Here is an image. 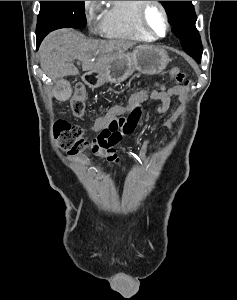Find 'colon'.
<instances>
[{
  "label": "colon",
  "instance_id": "5ec220e1",
  "mask_svg": "<svg viewBox=\"0 0 237 300\" xmlns=\"http://www.w3.org/2000/svg\"><path fill=\"white\" fill-rule=\"evenodd\" d=\"M178 83H186L187 78L179 69L174 71ZM165 90L161 83H153L142 90L143 98L136 102L126 117H115L107 127L102 129L93 141L83 137L82 129L71 123L61 121L55 125L54 137L58 146L69 154L77 155L91 147L94 151H109L118 144L124 136L134 133L142 117L143 102L158 101ZM86 88L77 84L71 99V110L76 117H81L85 111Z\"/></svg>",
  "mask_w": 237,
  "mask_h": 300
}]
</instances>
